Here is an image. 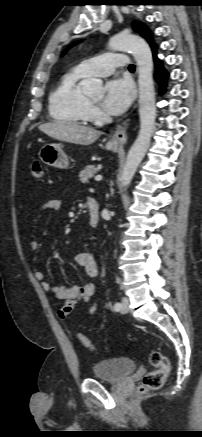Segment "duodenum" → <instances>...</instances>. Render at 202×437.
Segmentation results:
<instances>
[{
    "instance_id": "1",
    "label": "duodenum",
    "mask_w": 202,
    "mask_h": 437,
    "mask_svg": "<svg viewBox=\"0 0 202 437\" xmlns=\"http://www.w3.org/2000/svg\"><path fill=\"white\" fill-rule=\"evenodd\" d=\"M87 206L89 209V226L94 229L99 222V203L94 197H90Z\"/></svg>"
}]
</instances>
